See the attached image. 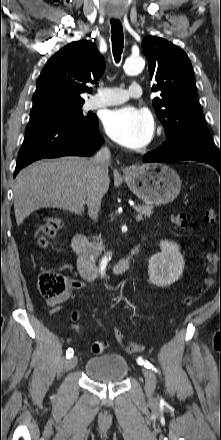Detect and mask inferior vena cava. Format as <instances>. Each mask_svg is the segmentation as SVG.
I'll list each match as a JSON object with an SVG mask.
<instances>
[{"label":"inferior vena cava","instance_id":"inferior-vena-cava-1","mask_svg":"<svg viewBox=\"0 0 221 440\" xmlns=\"http://www.w3.org/2000/svg\"><path fill=\"white\" fill-rule=\"evenodd\" d=\"M110 160V150L107 147H104L89 161L91 181L87 196V206L89 216L93 220H97L98 218V212L105 190V182L109 179L108 167Z\"/></svg>","mask_w":221,"mask_h":440}]
</instances>
